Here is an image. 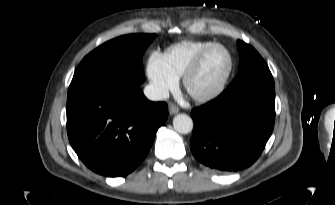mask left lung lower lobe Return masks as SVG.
Wrapping results in <instances>:
<instances>
[{
    "mask_svg": "<svg viewBox=\"0 0 335 205\" xmlns=\"http://www.w3.org/2000/svg\"><path fill=\"white\" fill-rule=\"evenodd\" d=\"M190 148L195 158L220 172L239 171L261 155L274 128L275 89L248 84L227 89L191 112Z\"/></svg>",
    "mask_w": 335,
    "mask_h": 205,
    "instance_id": "left-lung-lower-lobe-1",
    "label": "left lung lower lobe"
}]
</instances>
